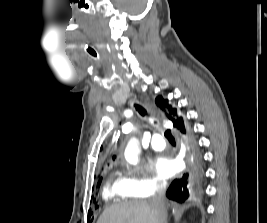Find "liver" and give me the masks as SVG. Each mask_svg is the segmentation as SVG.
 Here are the masks:
<instances>
[{"label": "liver", "instance_id": "6515ba94", "mask_svg": "<svg viewBox=\"0 0 267 223\" xmlns=\"http://www.w3.org/2000/svg\"><path fill=\"white\" fill-rule=\"evenodd\" d=\"M160 215V210L151 202L134 200L108 207L97 223H160Z\"/></svg>", "mask_w": 267, "mask_h": 223}]
</instances>
